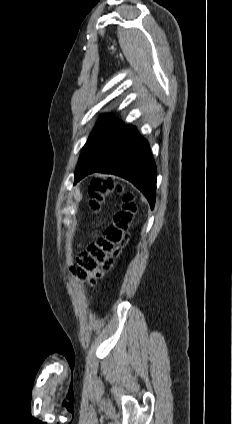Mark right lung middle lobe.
Masks as SVG:
<instances>
[{
	"label": "right lung middle lobe",
	"instance_id": "right-lung-middle-lobe-1",
	"mask_svg": "<svg viewBox=\"0 0 232 424\" xmlns=\"http://www.w3.org/2000/svg\"><path fill=\"white\" fill-rule=\"evenodd\" d=\"M122 126V123L116 122L108 115L99 119L98 125L90 135L80 155L75 176L80 175L88 163L101 150L112 134Z\"/></svg>",
	"mask_w": 232,
	"mask_h": 424
}]
</instances>
